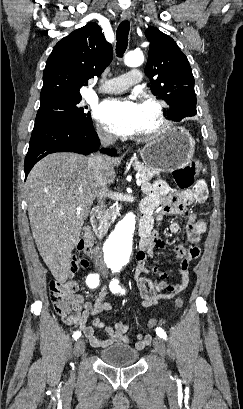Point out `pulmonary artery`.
<instances>
[{
	"label": "pulmonary artery",
	"mask_w": 243,
	"mask_h": 409,
	"mask_svg": "<svg viewBox=\"0 0 243 409\" xmlns=\"http://www.w3.org/2000/svg\"><path fill=\"white\" fill-rule=\"evenodd\" d=\"M141 80V72L133 69L121 76L110 79L100 89L103 93H119L137 84Z\"/></svg>",
	"instance_id": "e3ab8cb5"
}]
</instances>
